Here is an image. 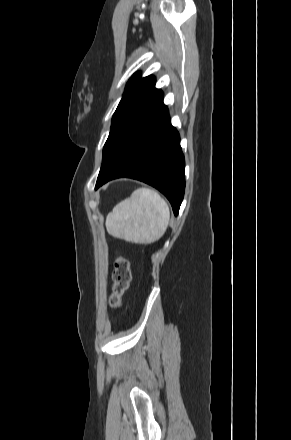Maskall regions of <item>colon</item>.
I'll use <instances>...</instances> for the list:
<instances>
[{
    "instance_id": "colon-1",
    "label": "colon",
    "mask_w": 291,
    "mask_h": 440,
    "mask_svg": "<svg viewBox=\"0 0 291 440\" xmlns=\"http://www.w3.org/2000/svg\"><path fill=\"white\" fill-rule=\"evenodd\" d=\"M114 287L109 302L112 306H118L121 296L128 287L130 281V267L128 261L122 256H118L114 262Z\"/></svg>"
}]
</instances>
